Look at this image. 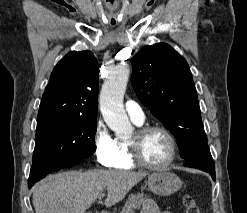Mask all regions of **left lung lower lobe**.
<instances>
[{
	"label": "left lung lower lobe",
	"mask_w": 247,
	"mask_h": 213,
	"mask_svg": "<svg viewBox=\"0 0 247 213\" xmlns=\"http://www.w3.org/2000/svg\"><path fill=\"white\" fill-rule=\"evenodd\" d=\"M185 160V166L208 172L212 176L213 180H215L214 160L208 148V143L200 144Z\"/></svg>",
	"instance_id": "left-lung-lower-lobe-1"
}]
</instances>
